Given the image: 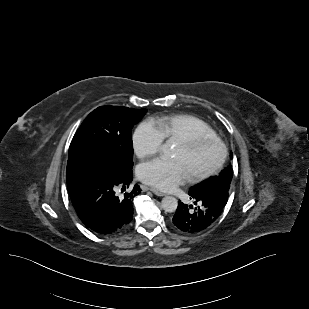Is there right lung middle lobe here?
Listing matches in <instances>:
<instances>
[{
  "label": "right lung middle lobe",
  "mask_w": 309,
  "mask_h": 309,
  "mask_svg": "<svg viewBox=\"0 0 309 309\" xmlns=\"http://www.w3.org/2000/svg\"><path fill=\"white\" fill-rule=\"evenodd\" d=\"M146 112V109L127 107H98L75 133L69 147V158H93L111 165L116 173L131 169V129Z\"/></svg>",
  "instance_id": "right-lung-middle-lobe-1"
}]
</instances>
